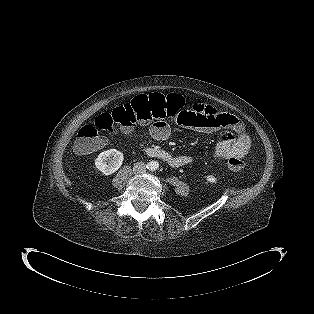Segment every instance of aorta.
Instances as JSON below:
<instances>
[{"label": "aorta", "mask_w": 314, "mask_h": 314, "mask_svg": "<svg viewBox=\"0 0 314 314\" xmlns=\"http://www.w3.org/2000/svg\"><path fill=\"white\" fill-rule=\"evenodd\" d=\"M151 166L153 169H157L159 167V163L158 162H152Z\"/></svg>", "instance_id": "1"}]
</instances>
